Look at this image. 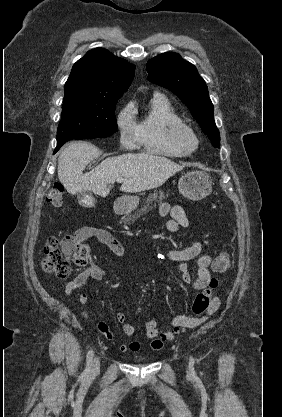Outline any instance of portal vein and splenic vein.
Listing matches in <instances>:
<instances>
[{"instance_id": "obj_1", "label": "portal vein and splenic vein", "mask_w": 282, "mask_h": 417, "mask_svg": "<svg viewBox=\"0 0 282 417\" xmlns=\"http://www.w3.org/2000/svg\"><path fill=\"white\" fill-rule=\"evenodd\" d=\"M124 178H117V182H123Z\"/></svg>"}]
</instances>
